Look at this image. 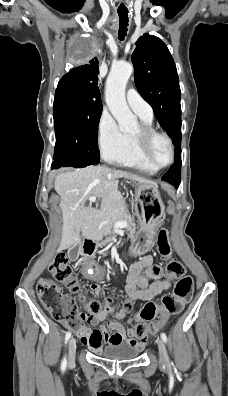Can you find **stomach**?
<instances>
[{
  "mask_svg": "<svg viewBox=\"0 0 228 396\" xmlns=\"http://www.w3.org/2000/svg\"><path fill=\"white\" fill-rule=\"evenodd\" d=\"M135 212L139 228L131 240L133 255H142L153 244L156 229L165 219L164 204L158 187L154 183L136 184Z\"/></svg>",
  "mask_w": 228,
  "mask_h": 396,
  "instance_id": "obj_1",
  "label": "stomach"
}]
</instances>
